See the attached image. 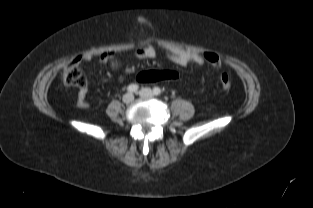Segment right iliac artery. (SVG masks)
I'll list each match as a JSON object with an SVG mask.
<instances>
[{
    "instance_id": "82829eb1",
    "label": "right iliac artery",
    "mask_w": 313,
    "mask_h": 208,
    "mask_svg": "<svg viewBox=\"0 0 313 208\" xmlns=\"http://www.w3.org/2000/svg\"><path fill=\"white\" fill-rule=\"evenodd\" d=\"M138 85L136 84H131L127 87V91L130 93L136 92L138 90Z\"/></svg>"
}]
</instances>
